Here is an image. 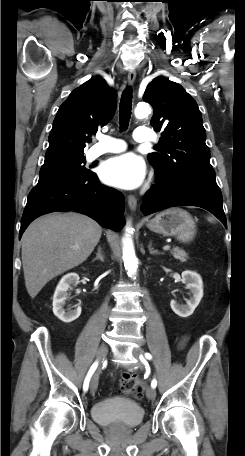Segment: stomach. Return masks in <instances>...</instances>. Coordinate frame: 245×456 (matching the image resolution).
<instances>
[{"mask_svg": "<svg viewBox=\"0 0 245 456\" xmlns=\"http://www.w3.org/2000/svg\"><path fill=\"white\" fill-rule=\"evenodd\" d=\"M146 226L155 233L175 236L182 242L191 241L196 233L194 219L181 208H170L158 213Z\"/></svg>", "mask_w": 245, "mask_h": 456, "instance_id": "stomach-1", "label": "stomach"}]
</instances>
